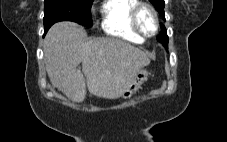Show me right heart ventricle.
<instances>
[{
	"label": "right heart ventricle",
	"instance_id": "obj_1",
	"mask_svg": "<svg viewBox=\"0 0 227 142\" xmlns=\"http://www.w3.org/2000/svg\"><path fill=\"white\" fill-rule=\"evenodd\" d=\"M138 0H103L99 6L102 30L113 37L140 44L144 41L132 27L131 12Z\"/></svg>",
	"mask_w": 227,
	"mask_h": 142
}]
</instances>
